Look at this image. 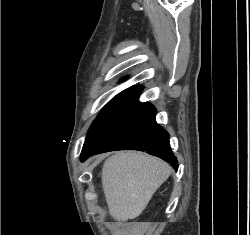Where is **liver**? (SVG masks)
<instances>
[{"label":"liver","instance_id":"6515ba94","mask_svg":"<svg viewBox=\"0 0 250 235\" xmlns=\"http://www.w3.org/2000/svg\"><path fill=\"white\" fill-rule=\"evenodd\" d=\"M170 173L166 162L141 152H117L107 158L102 187L110 216L124 222L138 217Z\"/></svg>","mask_w":250,"mask_h":235}]
</instances>
